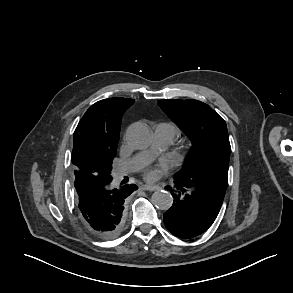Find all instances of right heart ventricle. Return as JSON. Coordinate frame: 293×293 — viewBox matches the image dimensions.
Returning a JSON list of instances; mask_svg holds the SVG:
<instances>
[{"instance_id": "1", "label": "right heart ventricle", "mask_w": 293, "mask_h": 293, "mask_svg": "<svg viewBox=\"0 0 293 293\" xmlns=\"http://www.w3.org/2000/svg\"><path fill=\"white\" fill-rule=\"evenodd\" d=\"M167 124L171 125V126L175 129V132H176V134H177V129H176V127H175L173 124H170V123H167Z\"/></svg>"}]
</instances>
